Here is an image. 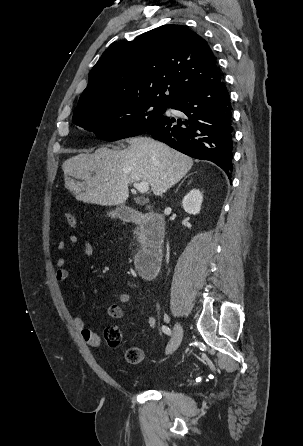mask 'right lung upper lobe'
Returning <instances> with one entry per match:
<instances>
[{
    "label": "right lung upper lobe",
    "mask_w": 303,
    "mask_h": 446,
    "mask_svg": "<svg viewBox=\"0 0 303 446\" xmlns=\"http://www.w3.org/2000/svg\"><path fill=\"white\" fill-rule=\"evenodd\" d=\"M221 79L201 36L181 25H163L103 53L74 115L138 100L171 105L185 93Z\"/></svg>",
    "instance_id": "right-lung-upper-lobe-1"
}]
</instances>
